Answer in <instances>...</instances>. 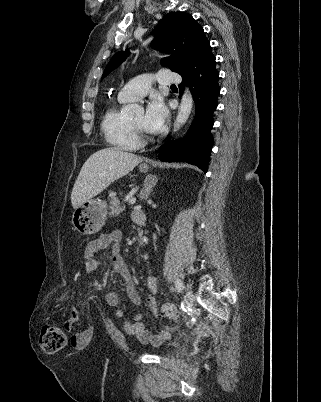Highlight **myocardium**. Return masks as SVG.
<instances>
[{
	"instance_id": "obj_1",
	"label": "myocardium",
	"mask_w": 321,
	"mask_h": 402,
	"mask_svg": "<svg viewBox=\"0 0 321 402\" xmlns=\"http://www.w3.org/2000/svg\"><path fill=\"white\" fill-rule=\"evenodd\" d=\"M128 124H129L131 131L136 136V138L138 139L140 144L146 143L151 139V137L147 133H145L143 130L137 128L136 126H134V124L131 121H128Z\"/></svg>"
}]
</instances>
